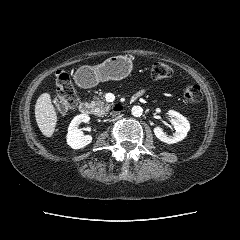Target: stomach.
Returning <instances> with one entry per match:
<instances>
[{
	"instance_id": "obj_1",
	"label": "stomach",
	"mask_w": 240,
	"mask_h": 240,
	"mask_svg": "<svg viewBox=\"0 0 240 240\" xmlns=\"http://www.w3.org/2000/svg\"><path fill=\"white\" fill-rule=\"evenodd\" d=\"M132 69L131 61L123 56H113L97 66H82L76 76L88 86H94L102 81L120 80L126 77Z\"/></svg>"
}]
</instances>
